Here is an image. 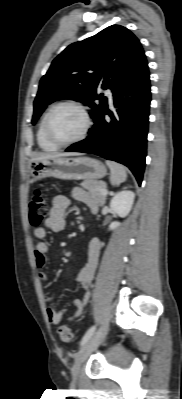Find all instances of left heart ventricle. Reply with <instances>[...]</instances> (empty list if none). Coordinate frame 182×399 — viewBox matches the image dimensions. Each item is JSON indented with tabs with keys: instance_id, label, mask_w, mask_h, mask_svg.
<instances>
[{
	"instance_id": "obj_1",
	"label": "left heart ventricle",
	"mask_w": 182,
	"mask_h": 399,
	"mask_svg": "<svg viewBox=\"0 0 182 399\" xmlns=\"http://www.w3.org/2000/svg\"><path fill=\"white\" fill-rule=\"evenodd\" d=\"M50 128L56 139L68 141L74 139L82 132L84 118L76 108L69 106L61 107L53 113Z\"/></svg>"
}]
</instances>
